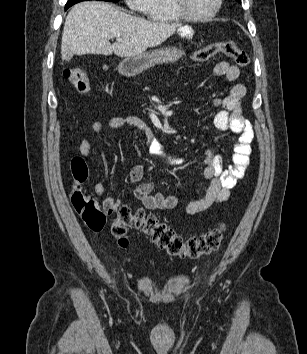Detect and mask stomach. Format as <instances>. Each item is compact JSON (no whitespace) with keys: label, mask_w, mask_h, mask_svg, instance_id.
Segmentation results:
<instances>
[{"label":"stomach","mask_w":307,"mask_h":354,"mask_svg":"<svg viewBox=\"0 0 307 354\" xmlns=\"http://www.w3.org/2000/svg\"><path fill=\"white\" fill-rule=\"evenodd\" d=\"M183 51L175 48H161L142 53L138 56L127 57L118 65V71L127 77H132L141 72L163 63H174L178 61Z\"/></svg>","instance_id":"0dacf381"}]
</instances>
